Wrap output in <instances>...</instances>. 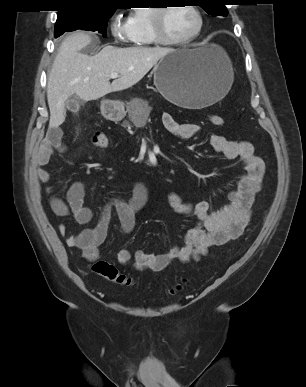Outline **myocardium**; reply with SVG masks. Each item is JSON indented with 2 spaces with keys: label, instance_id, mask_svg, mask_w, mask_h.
Wrapping results in <instances>:
<instances>
[{
  "label": "myocardium",
  "instance_id": "f54148a6",
  "mask_svg": "<svg viewBox=\"0 0 306 387\" xmlns=\"http://www.w3.org/2000/svg\"><path fill=\"white\" fill-rule=\"evenodd\" d=\"M196 16L197 25L195 30L187 37L182 39L169 38L164 30V16L170 8L167 6L156 7L152 9L150 24L153 37L157 44L165 46H182L193 42L202 32L204 19L200 9L193 4L186 5Z\"/></svg>",
  "mask_w": 306,
  "mask_h": 387
}]
</instances>
